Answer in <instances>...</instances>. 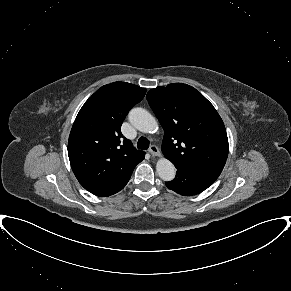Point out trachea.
<instances>
[{"mask_svg":"<svg viewBox=\"0 0 291 291\" xmlns=\"http://www.w3.org/2000/svg\"><path fill=\"white\" fill-rule=\"evenodd\" d=\"M137 148L147 150L149 148V140L146 137H140L137 142Z\"/></svg>","mask_w":291,"mask_h":291,"instance_id":"1","label":"trachea"}]
</instances>
